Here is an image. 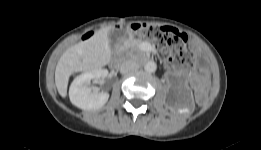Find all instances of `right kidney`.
I'll use <instances>...</instances> for the list:
<instances>
[{"label":"right kidney","mask_w":261,"mask_h":150,"mask_svg":"<svg viewBox=\"0 0 261 150\" xmlns=\"http://www.w3.org/2000/svg\"><path fill=\"white\" fill-rule=\"evenodd\" d=\"M108 75L106 69H95L77 76L71 83L69 98L73 105L83 110H96L103 107L108 101L109 94L90 88L91 80L105 78Z\"/></svg>","instance_id":"1"}]
</instances>
